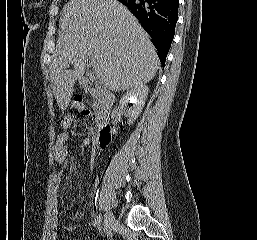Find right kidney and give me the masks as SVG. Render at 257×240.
<instances>
[{
  "label": "right kidney",
  "instance_id": "ca27d5eb",
  "mask_svg": "<svg viewBox=\"0 0 257 240\" xmlns=\"http://www.w3.org/2000/svg\"><path fill=\"white\" fill-rule=\"evenodd\" d=\"M149 89L147 86L142 85L127 91L125 95L120 100V108H124L127 103H131L128 115V124L131 125L139 117L142 109L144 107L145 101L147 99ZM116 133V129L113 130Z\"/></svg>",
  "mask_w": 257,
  "mask_h": 240
}]
</instances>
